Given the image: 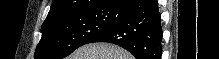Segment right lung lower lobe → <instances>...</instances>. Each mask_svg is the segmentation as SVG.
I'll list each match as a JSON object with an SVG mask.
<instances>
[{"mask_svg":"<svg viewBox=\"0 0 219 59\" xmlns=\"http://www.w3.org/2000/svg\"><path fill=\"white\" fill-rule=\"evenodd\" d=\"M117 21L91 40L119 45L136 59H161L162 28L156 0H121Z\"/></svg>","mask_w":219,"mask_h":59,"instance_id":"1","label":"right lung lower lobe"}]
</instances>
